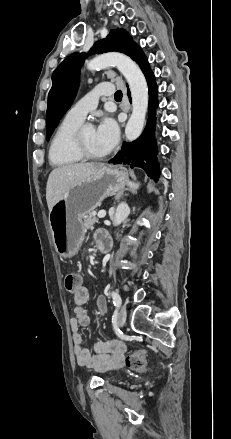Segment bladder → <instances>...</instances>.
<instances>
[{
  "mask_svg": "<svg viewBox=\"0 0 231 439\" xmlns=\"http://www.w3.org/2000/svg\"><path fill=\"white\" fill-rule=\"evenodd\" d=\"M108 379H109V380H115V379H116V376H115V375H111V376H109Z\"/></svg>",
  "mask_w": 231,
  "mask_h": 439,
  "instance_id": "obj_1",
  "label": "bladder"
}]
</instances>
